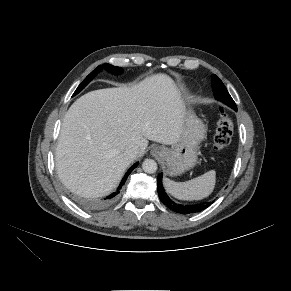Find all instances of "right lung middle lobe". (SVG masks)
Here are the masks:
<instances>
[{"mask_svg": "<svg viewBox=\"0 0 291 291\" xmlns=\"http://www.w3.org/2000/svg\"><path fill=\"white\" fill-rule=\"evenodd\" d=\"M104 67L113 72V73H119L120 72V68L119 67H115L112 66L110 64H105ZM102 69V66L99 65L95 70H93L85 79L84 81L78 86V88L76 89V91L74 92L73 96L78 94L81 90H83L88 83L93 79V77Z\"/></svg>", "mask_w": 291, "mask_h": 291, "instance_id": "1", "label": "right lung middle lobe"}]
</instances>
